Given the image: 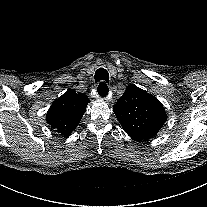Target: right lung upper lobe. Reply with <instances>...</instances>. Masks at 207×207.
Instances as JSON below:
<instances>
[{
    "mask_svg": "<svg viewBox=\"0 0 207 207\" xmlns=\"http://www.w3.org/2000/svg\"><path fill=\"white\" fill-rule=\"evenodd\" d=\"M89 102L85 94L68 90L50 106L46 121L57 132L69 135L78 126Z\"/></svg>",
    "mask_w": 207,
    "mask_h": 207,
    "instance_id": "cb5924a9",
    "label": "right lung upper lobe"
}]
</instances>
